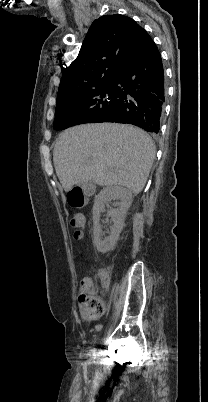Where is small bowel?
Returning <instances> with one entry per match:
<instances>
[{"mask_svg":"<svg viewBox=\"0 0 208 402\" xmlns=\"http://www.w3.org/2000/svg\"><path fill=\"white\" fill-rule=\"evenodd\" d=\"M99 274L103 277L101 280H104L106 282L105 288H108L109 284L107 283V276L109 275V272L107 270H102ZM82 280H87V278H83ZM86 321L87 322H84L82 324V327L84 329L90 330V329H92L93 324L100 323L101 318L99 315H92V316H90V318H86ZM110 327H113V324H110Z\"/></svg>","mask_w":208,"mask_h":402,"instance_id":"obj_1","label":"small bowel"}]
</instances>
